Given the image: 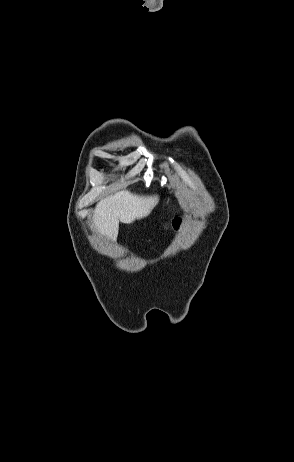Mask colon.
I'll use <instances>...</instances> for the list:
<instances>
[{"label": "colon", "instance_id": "5ec220e1", "mask_svg": "<svg viewBox=\"0 0 294 462\" xmlns=\"http://www.w3.org/2000/svg\"><path fill=\"white\" fill-rule=\"evenodd\" d=\"M179 224H180V220H179V219H174V220L172 221V223H171L172 227L175 228V229L178 228Z\"/></svg>", "mask_w": 294, "mask_h": 462}]
</instances>
